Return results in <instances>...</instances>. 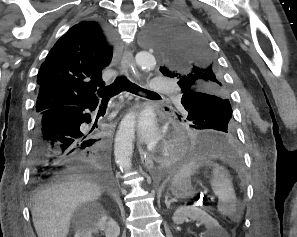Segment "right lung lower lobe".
Listing matches in <instances>:
<instances>
[{"mask_svg": "<svg viewBox=\"0 0 297 237\" xmlns=\"http://www.w3.org/2000/svg\"><path fill=\"white\" fill-rule=\"evenodd\" d=\"M98 102L78 107H56L37 115L33 148V179L36 183L62 179L72 174L111 175L108 151L103 139L90 138L80 127L90 123L86 109ZM94 127V126H93Z\"/></svg>", "mask_w": 297, "mask_h": 237, "instance_id": "1", "label": "right lung lower lobe"}]
</instances>
